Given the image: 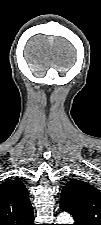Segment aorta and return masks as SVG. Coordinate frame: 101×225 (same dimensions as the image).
<instances>
[{"instance_id": "aorta-1", "label": "aorta", "mask_w": 101, "mask_h": 225, "mask_svg": "<svg viewBox=\"0 0 101 225\" xmlns=\"http://www.w3.org/2000/svg\"><path fill=\"white\" fill-rule=\"evenodd\" d=\"M56 224H73V219L69 214L61 213L57 217Z\"/></svg>"}]
</instances>
